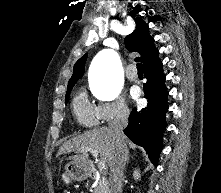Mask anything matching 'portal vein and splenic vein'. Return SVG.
<instances>
[{"label": "portal vein and splenic vein", "instance_id": "1", "mask_svg": "<svg viewBox=\"0 0 221 193\" xmlns=\"http://www.w3.org/2000/svg\"><path fill=\"white\" fill-rule=\"evenodd\" d=\"M84 150H86V151H89L94 157H98V151L97 150H95V149H92V148H86V149H82V151H84ZM98 167L100 168V169H105V167H106V163H105V161H100L99 163H98Z\"/></svg>", "mask_w": 221, "mask_h": 193}]
</instances>
